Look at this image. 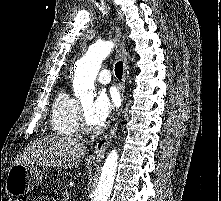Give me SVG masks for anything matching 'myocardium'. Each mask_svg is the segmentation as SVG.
Returning <instances> with one entry per match:
<instances>
[{
    "instance_id": "myocardium-1",
    "label": "myocardium",
    "mask_w": 221,
    "mask_h": 201,
    "mask_svg": "<svg viewBox=\"0 0 221 201\" xmlns=\"http://www.w3.org/2000/svg\"><path fill=\"white\" fill-rule=\"evenodd\" d=\"M79 127L81 131L87 134L100 133L104 129L103 124L94 126L89 122L83 106H80L79 108Z\"/></svg>"
}]
</instances>
